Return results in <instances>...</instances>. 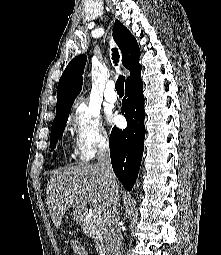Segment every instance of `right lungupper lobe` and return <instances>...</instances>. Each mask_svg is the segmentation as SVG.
<instances>
[{
  "label": "right lung upper lobe",
  "instance_id": "cb5924a9",
  "mask_svg": "<svg viewBox=\"0 0 221 255\" xmlns=\"http://www.w3.org/2000/svg\"><path fill=\"white\" fill-rule=\"evenodd\" d=\"M113 37L122 52L123 66L130 71L127 82L142 68L139 64L140 49L135 37L118 20L114 24ZM86 60V55H79L65 68L57 87L56 115L70 111L80 93Z\"/></svg>",
  "mask_w": 221,
  "mask_h": 255
}]
</instances>
